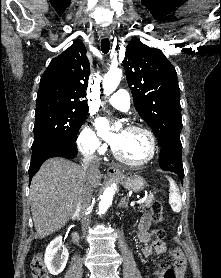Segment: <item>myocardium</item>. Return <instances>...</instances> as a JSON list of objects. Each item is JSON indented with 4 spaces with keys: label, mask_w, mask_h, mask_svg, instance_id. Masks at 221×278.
Listing matches in <instances>:
<instances>
[{
    "label": "myocardium",
    "mask_w": 221,
    "mask_h": 278,
    "mask_svg": "<svg viewBox=\"0 0 221 278\" xmlns=\"http://www.w3.org/2000/svg\"><path fill=\"white\" fill-rule=\"evenodd\" d=\"M126 130L141 132V133H144L148 137L149 143H150L149 156L142 161H131V160H128L127 158H125L124 156H122L117 151V149L114 147L112 149V153H113L114 157L118 161H120L128 166H131V167H143V166L149 164L150 162H152L155 159L156 154H157V143H156V138H155L154 134L149 129L142 127V126H137V125L128 126L126 128Z\"/></svg>",
    "instance_id": "f54148a6"
}]
</instances>
